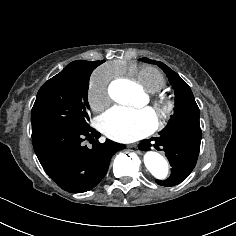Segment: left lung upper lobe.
Segmentation results:
<instances>
[{
	"label": "left lung upper lobe",
	"instance_id": "left-lung-upper-lobe-1",
	"mask_svg": "<svg viewBox=\"0 0 236 236\" xmlns=\"http://www.w3.org/2000/svg\"><path fill=\"white\" fill-rule=\"evenodd\" d=\"M140 61L158 65L168 76L175 92L174 114L169 120L167 127H183L195 130L200 129V111L195 102L193 93L189 85L168 66L159 61L148 58H140Z\"/></svg>",
	"mask_w": 236,
	"mask_h": 236
}]
</instances>
